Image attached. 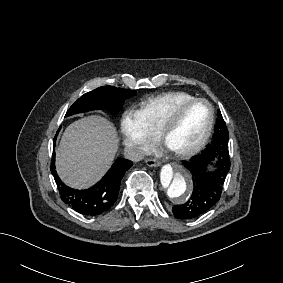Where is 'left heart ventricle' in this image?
I'll list each match as a JSON object with an SVG mask.
<instances>
[{"instance_id":"1","label":"left heart ventricle","mask_w":283,"mask_h":283,"mask_svg":"<svg viewBox=\"0 0 283 283\" xmlns=\"http://www.w3.org/2000/svg\"><path fill=\"white\" fill-rule=\"evenodd\" d=\"M166 148L179 153L191 148L203 134L209 110L204 103H195L182 110L169 106L165 111Z\"/></svg>"}]
</instances>
